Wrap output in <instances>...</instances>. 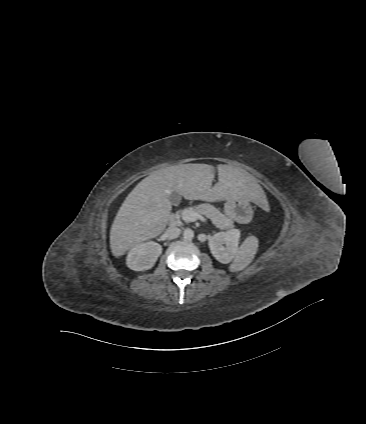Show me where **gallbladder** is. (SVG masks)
Here are the masks:
<instances>
[{
    "mask_svg": "<svg viewBox=\"0 0 366 424\" xmlns=\"http://www.w3.org/2000/svg\"><path fill=\"white\" fill-rule=\"evenodd\" d=\"M170 201L172 204H178L180 202V195L177 192H173L170 197H169Z\"/></svg>",
    "mask_w": 366,
    "mask_h": 424,
    "instance_id": "obj_1",
    "label": "gallbladder"
}]
</instances>
